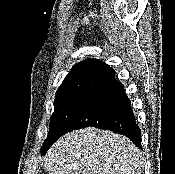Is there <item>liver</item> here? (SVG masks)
<instances>
[{
    "label": "liver",
    "instance_id": "liver-1",
    "mask_svg": "<svg viewBox=\"0 0 175 174\" xmlns=\"http://www.w3.org/2000/svg\"><path fill=\"white\" fill-rule=\"evenodd\" d=\"M141 150L130 139L109 130L87 127L62 136L49 149V174H141Z\"/></svg>",
    "mask_w": 175,
    "mask_h": 174
}]
</instances>
